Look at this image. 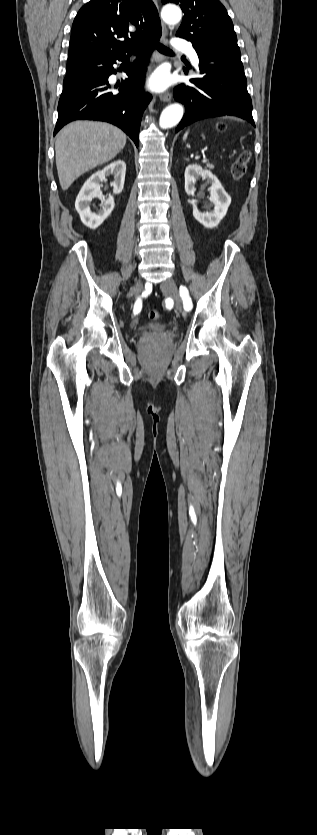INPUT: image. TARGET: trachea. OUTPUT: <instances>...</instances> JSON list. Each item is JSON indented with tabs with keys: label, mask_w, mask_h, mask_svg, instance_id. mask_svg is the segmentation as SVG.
I'll list each match as a JSON object with an SVG mask.
<instances>
[{
	"label": "trachea",
	"mask_w": 317,
	"mask_h": 835,
	"mask_svg": "<svg viewBox=\"0 0 317 835\" xmlns=\"http://www.w3.org/2000/svg\"><path fill=\"white\" fill-rule=\"evenodd\" d=\"M155 46H156V48L158 49V51H159V52H161V53H164V54H173V52H172L170 49H168L167 47H165L164 45H162V44H160V43H157V42H156V43H155Z\"/></svg>",
	"instance_id": "obj_1"
}]
</instances>
